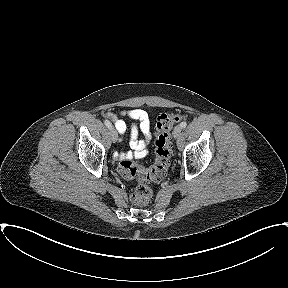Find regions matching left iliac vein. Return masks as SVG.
Returning <instances> with one entry per match:
<instances>
[{
    "label": "left iliac vein",
    "instance_id": "left-iliac-vein-1",
    "mask_svg": "<svg viewBox=\"0 0 288 288\" xmlns=\"http://www.w3.org/2000/svg\"><path fill=\"white\" fill-rule=\"evenodd\" d=\"M182 127L180 125L176 126L173 131L174 138H178L181 135Z\"/></svg>",
    "mask_w": 288,
    "mask_h": 288
}]
</instances>
